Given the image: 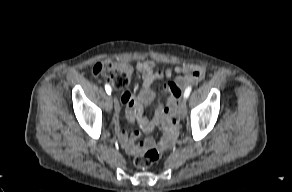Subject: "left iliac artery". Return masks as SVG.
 <instances>
[{
  "label": "left iliac artery",
  "instance_id": "left-iliac-artery-1",
  "mask_svg": "<svg viewBox=\"0 0 292 192\" xmlns=\"http://www.w3.org/2000/svg\"><path fill=\"white\" fill-rule=\"evenodd\" d=\"M192 88L188 87L186 88L185 92H184V99H187L191 93Z\"/></svg>",
  "mask_w": 292,
  "mask_h": 192
}]
</instances>
